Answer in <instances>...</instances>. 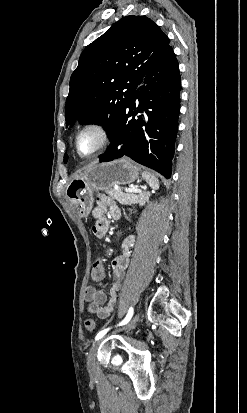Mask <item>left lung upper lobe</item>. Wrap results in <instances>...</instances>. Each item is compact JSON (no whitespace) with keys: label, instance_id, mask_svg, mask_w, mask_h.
I'll return each mask as SVG.
<instances>
[{"label":"left lung upper lobe","instance_id":"5c2ea615","mask_svg":"<svg viewBox=\"0 0 247 413\" xmlns=\"http://www.w3.org/2000/svg\"><path fill=\"white\" fill-rule=\"evenodd\" d=\"M170 47V39L147 17L130 15L114 23L79 58L70 78L66 124H99L110 138L138 82Z\"/></svg>","mask_w":247,"mask_h":413}]
</instances>
